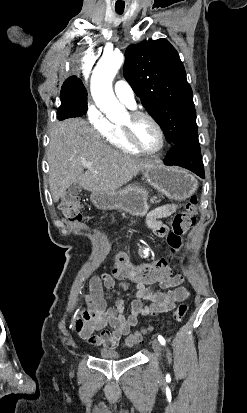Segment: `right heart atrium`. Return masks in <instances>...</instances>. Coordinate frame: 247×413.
Here are the masks:
<instances>
[{
    "label": "right heart atrium",
    "mask_w": 247,
    "mask_h": 413,
    "mask_svg": "<svg viewBox=\"0 0 247 413\" xmlns=\"http://www.w3.org/2000/svg\"><path fill=\"white\" fill-rule=\"evenodd\" d=\"M103 105H90L89 110H86V119H92L97 133H108L110 130V120L105 119ZM80 130V129H79ZM93 130V129H89Z\"/></svg>",
    "instance_id": "1"
}]
</instances>
